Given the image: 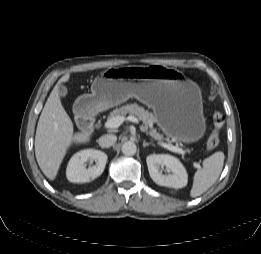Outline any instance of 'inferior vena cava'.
Returning a JSON list of instances; mask_svg holds the SVG:
<instances>
[{"mask_svg":"<svg viewBox=\"0 0 261 254\" xmlns=\"http://www.w3.org/2000/svg\"><path fill=\"white\" fill-rule=\"evenodd\" d=\"M116 141L117 137L115 135L105 134L99 138L98 143L102 148H108L114 145Z\"/></svg>","mask_w":261,"mask_h":254,"instance_id":"602c4592","label":"inferior vena cava"}]
</instances>
